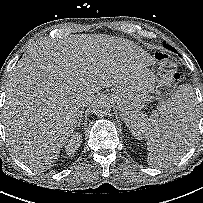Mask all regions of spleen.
Instances as JSON below:
<instances>
[{"instance_id":"spleen-1","label":"spleen","mask_w":203,"mask_h":203,"mask_svg":"<svg viewBox=\"0 0 203 203\" xmlns=\"http://www.w3.org/2000/svg\"><path fill=\"white\" fill-rule=\"evenodd\" d=\"M196 104L192 86L183 84L169 100L163 101L152 111L150 118L143 113L134 112L126 121L135 136L147 139L150 163L167 167L176 163L192 146L191 141L197 130ZM174 126L188 135L184 143H173L163 134V130L168 132Z\"/></svg>"}]
</instances>
